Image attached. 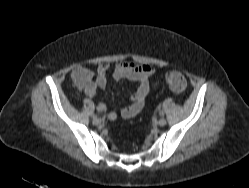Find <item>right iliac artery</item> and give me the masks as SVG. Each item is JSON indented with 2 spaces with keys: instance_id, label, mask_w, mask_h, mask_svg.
Wrapping results in <instances>:
<instances>
[{
  "instance_id": "82829eb1",
  "label": "right iliac artery",
  "mask_w": 249,
  "mask_h": 188,
  "mask_svg": "<svg viewBox=\"0 0 249 188\" xmlns=\"http://www.w3.org/2000/svg\"><path fill=\"white\" fill-rule=\"evenodd\" d=\"M92 118L94 119V118H97V115H92Z\"/></svg>"
}]
</instances>
